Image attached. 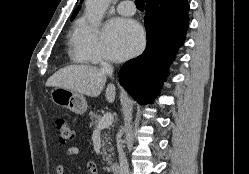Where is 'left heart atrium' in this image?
<instances>
[{
  "instance_id": "39dd6f15",
  "label": "left heart atrium",
  "mask_w": 249,
  "mask_h": 174,
  "mask_svg": "<svg viewBox=\"0 0 249 174\" xmlns=\"http://www.w3.org/2000/svg\"><path fill=\"white\" fill-rule=\"evenodd\" d=\"M144 33L134 20L116 18L111 20L104 32L105 52L111 60L121 61L140 52Z\"/></svg>"
}]
</instances>
